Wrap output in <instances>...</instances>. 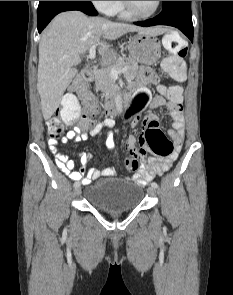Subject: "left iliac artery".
Listing matches in <instances>:
<instances>
[{
    "label": "left iliac artery",
    "mask_w": 233,
    "mask_h": 295,
    "mask_svg": "<svg viewBox=\"0 0 233 295\" xmlns=\"http://www.w3.org/2000/svg\"><path fill=\"white\" fill-rule=\"evenodd\" d=\"M151 186L154 187V188H158V184L156 182H152Z\"/></svg>",
    "instance_id": "obj_1"
}]
</instances>
